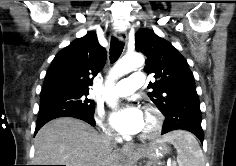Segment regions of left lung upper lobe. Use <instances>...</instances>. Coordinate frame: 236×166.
Returning a JSON list of instances; mask_svg holds the SVG:
<instances>
[{
  "label": "left lung upper lobe",
  "mask_w": 236,
  "mask_h": 166,
  "mask_svg": "<svg viewBox=\"0 0 236 166\" xmlns=\"http://www.w3.org/2000/svg\"><path fill=\"white\" fill-rule=\"evenodd\" d=\"M136 51L146 55L145 71L157 79L149 83L150 99L166 114L182 110L193 100H199L193 74L179 51L153 31L142 29L135 34Z\"/></svg>",
  "instance_id": "5c2ea615"
}]
</instances>
